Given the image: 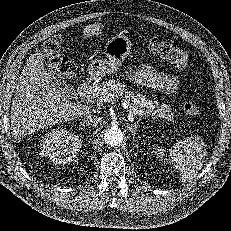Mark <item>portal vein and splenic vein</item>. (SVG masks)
I'll return each instance as SVG.
<instances>
[{
    "label": "portal vein and splenic vein",
    "instance_id": "obj_1",
    "mask_svg": "<svg viewBox=\"0 0 231 231\" xmlns=\"http://www.w3.org/2000/svg\"><path fill=\"white\" fill-rule=\"evenodd\" d=\"M101 102H103V99L94 100V101H93V103H96V104H99V105L102 104ZM122 104H123V107H124L125 109H128L129 104H128L126 101L123 102ZM140 115H141V113H140ZM128 119H129V121H131V122L134 120L133 114H132L131 111H129V113H128Z\"/></svg>",
    "mask_w": 231,
    "mask_h": 231
}]
</instances>
